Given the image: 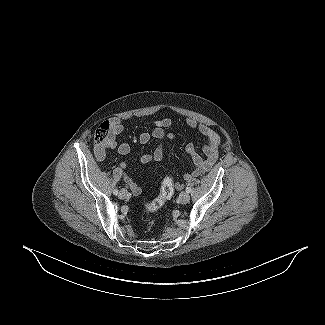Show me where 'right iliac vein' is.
I'll list each match as a JSON object with an SVG mask.
<instances>
[{
    "label": "right iliac vein",
    "mask_w": 325,
    "mask_h": 325,
    "mask_svg": "<svg viewBox=\"0 0 325 325\" xmlns=\"http://www.w3.org/2000/svg\"><path fill=\"white\" fill-rule=\"evenodd\" d=\"M127 191L125 190V189H122V190H120V192H119V198H121V199H125L126 197H127Z\"/></svg>",
    "instance_id": "right-iliac-vein-1"
}]
</instances>
